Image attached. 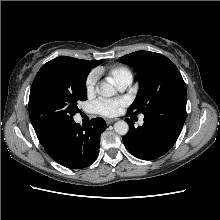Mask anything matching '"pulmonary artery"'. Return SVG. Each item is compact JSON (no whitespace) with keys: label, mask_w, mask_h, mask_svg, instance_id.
I'll return each instance as SVG.
<instances>
[{"label":"pulmonary artery","mask_w":220,"mask_h":220,"mask_svg":"<svg viewBox=\"0 0 220 220\" xmlns=\"http://www.w3.org/2000/svg\"><path fill=\"white\" fill-rule=\"evenodd\" d=\"M132 82V78H122L116 83V87L120 92H123ZM140 123H143V117L140 118Z\"/></svg>","instance_id":"obj_1"}]
</instances>
